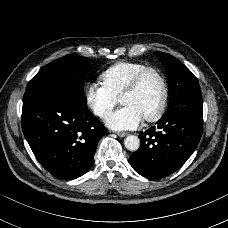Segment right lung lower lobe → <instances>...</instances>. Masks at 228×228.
<instances>
[{
    "mask_svg": "<svg viewBox=\"0 0 228 228\" xmlns=\"http://www.w3.org/2000/svg\"><path fill=\"white\" fill-rule=\"evenodd\" d=\"M87 104L57 91L23 98L22 129L34 155L53 176L75 179L90 167L99 139L108 131Z\"/></svg>",
    "mask_w": 228,
    "mask_h": 228,
    "instance_id": "obj_1",
    "label": "right lung lower lobe"
}]
</instances>
